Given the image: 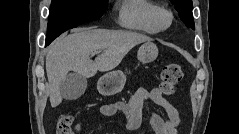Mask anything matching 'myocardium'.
I'll return each mask as SVG.
<instances>
[{
    "instance_id": "f54148a6",
    "label": "myocardium",
    "mask_w": 239,
    "mask_h": 134,
    "mask_svg": "<svg viewBox=\"0 0 239 134\" xmlns=\"http://www.w3.org/2000/svg\"><path fill=\"white\" fill-rule=\"evenodd\" d=\"M152 19L154 25L159 31H164L168 29L173 21L171 12L164 7H158L154 11Z\"/></svg>"
}]
</instances>
